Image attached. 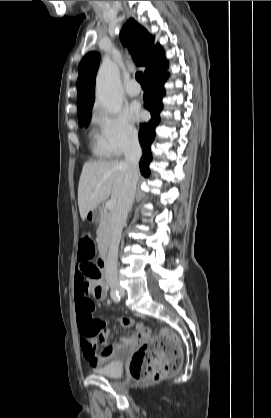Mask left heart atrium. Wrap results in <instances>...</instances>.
<instances>
[{"label":"left heart atrium","instance_id":"obj_1","mask_svg":"<svg viewBox=\"0 0 271 418\" xmlns=\"http://www.w3.org/2000/svg\"><path fill=\"white\" fill-rule=\"evenodd\" d=\"M132 116H133V118H134L135 120H139V119H140V117H141V112H140L139 108H137V107H133V108H132Z\"/></svg>","mask_w":271,"mask_h":418}]
</instances>
